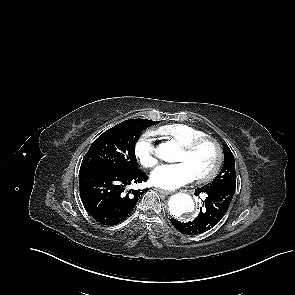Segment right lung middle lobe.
Returning a JSON list of instances; mask_svg holds the SVG:
<instances>
[{
    "mask_svg": "<svg viewBox=\"0 0 295 295\" xmlns=\"http://www.w3.org/2000/svg\"><path fill=\"white\" fill-rule=\"evenodd\" d=\"M159 121L129 119L100 135L82 160L80 172L105 169H138L135 141L140 133Z\"/></svg>",
    "mask_w": 295,
    "mask_h": 295,
    "instance_id": "obj_1",
    "label": "right lung middle lobe"
}]
</instances>
